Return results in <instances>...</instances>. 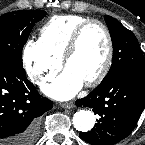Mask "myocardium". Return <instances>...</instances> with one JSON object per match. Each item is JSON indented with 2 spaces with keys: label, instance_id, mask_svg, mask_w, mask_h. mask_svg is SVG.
Masks as SVG:
<instances>
[{
  "label": "myocardium",
  "instance_id": "obj_1",
  "mask_svg": "<svg viewBox=\"0 0 145 145\" xmlns=\"http://www.w3.org/2000/svg\"><path fill=\"white\" fill-rule=\"evenodd\" d=\"M92 24H97L103 29L107 39V52H106L104 63L101 69L99 70V72L94 77L84 82L85 86L87 87H93L101 83L104 80V78L107 76L111 68L113 62V56H114V44L109 28L102 21L98 19L86 20L85 22L80 24L73 32L70 41L67 45V48L61 59L63 66L66 68L68 61L74 55V53L76 52L79 46V42L84 30Z\"/></svg>",
  "mask_w": 145,
  "mask_h": 145
}]
</instances>
